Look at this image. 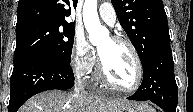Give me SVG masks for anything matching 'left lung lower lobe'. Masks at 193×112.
Returning a JSON list of instances; mask_svg holds the SVG:
<instances>
[{"label":"left lung lower lobe","mask_w":193,"mask_h":112,"mask_svg":"<svg viewBox=\"0 0 193 112\" xmlns=\"http://www.w3.org/2000/svg\"><path fill=\"white\" fill-rule=\"evenodd\" d=\"M170 41L154 49L146 62L143 81L138 90L127 99L150 100L165 112H176L178 87L175 81Z\"/></svg>","instance_id":"left-lung-lower-lobe-1"}]
</instances>
